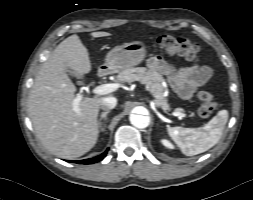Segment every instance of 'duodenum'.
<instances>
[{
    "label": "duodenum",
    "instance_id": "obj_1",
    "mask_svg": "<svg viewBox=\"0 0 253 200\" xmlns=\"http://www.w3.org/2000/svg\"><path fill=\"white\" fill-rule=\"evenodd\" d=\"M107 73H108V69H107V68H101V69H99V71H98V76H99V77H103V76H105Z\"/></svg>",
    "mask_w": 253,
    "mask_h": 200
}]
</instances>
